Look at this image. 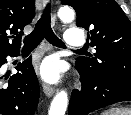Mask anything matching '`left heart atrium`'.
I'll return each instance as SVG.
<instances>
[{"label": "left heart atrium", "instance_id": "1", "mask_svg": "<svg viewBox=\"0 0 131 115\" xmlns=\"http://www.w3.org/2000/svg\"><path fill=\"white\" fill-rule=\"evenodd\" d=\"M41 73L44 79L56 81L59 77L58 64L53 60L46 61L42 66Z\"/></svg>", "mask_w": 131, "mask_h": 115}]
</instances>
